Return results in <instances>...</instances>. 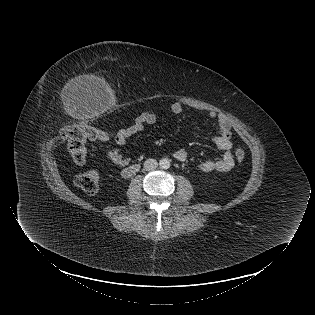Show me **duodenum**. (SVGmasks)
<instances>
[{
  "mask_svg": "<svg viewBox=\"0 0 315 315\" xmlns=\"http://www.w3.org/2000/svg\"><path fill=\"white\" fill-rule=\"evenodd\" d=\"M139 170V165L138 164H133L127 168H125L122 172V175L126 178L131 177L134 175L137 171Z\"/></svg>",
  "mask_w": 315,
  "mask_h": 315,
  "instance_id": "1",
  "label": "duodenum"
}]
</instances>
